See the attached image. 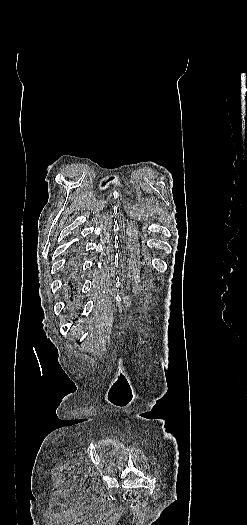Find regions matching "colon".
Segmentation results:
<instances>
[{
    "label": "colon",
    "mask_w": 247,
    "mask_h": 525,
    "mask_svg": "<svg viewBox=\"0 0 247 525\" xmlns=\"http://www.w3.org/2000/svg\"><path fill=\"white\" fill-rule=\"evenodd\" d=\"M125 499L132 500V499H139L141 497V492L139 490H127L124 494Z\"/></svg>",
    "instance_id": "1"
}]
</instances>
